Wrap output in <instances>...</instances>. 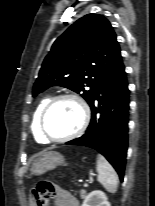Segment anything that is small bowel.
Returning <instances> with one entry per match:
<instances>
[{
    "label": "small bowel",
    "instance_id": "small-bowel-1",
    "mask_svg": "<svg viewBox=\"0 0 155 206\" xmlns=\"http://www.w3.org/2000/svg\"><path fill=\"white\" fill-rule=\"evenodd\" d=\"M53 192L55 206H79L78 200L70 191L54 187Z\"/></svg>",
    "mask_w": 155,
    "mask_h": 206
}]
</instances>
